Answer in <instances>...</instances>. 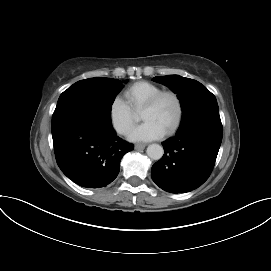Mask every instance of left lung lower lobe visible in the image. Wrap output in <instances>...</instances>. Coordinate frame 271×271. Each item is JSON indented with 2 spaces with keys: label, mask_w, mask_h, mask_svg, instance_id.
<instances>
[{
  "label": "left lung lower lobe",
  "mask_w": 271,
  "mask_h": 271,
  "mask_svg": "<svg viewBox=\"0 0 271 271\" xmlns=\"http://www.w3.org/2000/svg\"><path fill=\"white\" fill-rule=\"evenodd\" d=\"M223 135L219 115L194 118L162 143L165 154L152 166L153 181L170 193L201 186L210 176Z\"/></svg>",
  "instance_id": "1"
}]
</instances>
